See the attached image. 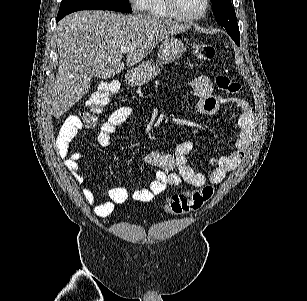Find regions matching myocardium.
<instances>
[{"mask_svg":"<svg viewBox=\"0 0 307 301\" xmlns=\"http://www.w3.org/2000/svg\"><path fill=\"white\" fill-rule=\"evenodd\" d=\"M176 0H165V12L168 17L173 18L174 22H199L200 17H204L207 12V0H202L201 10L199 11H175Z\"/></svg>","mask_w":307,"mask_h":301,"instance_id":"1","label":"myocardium"}]
</instances>
